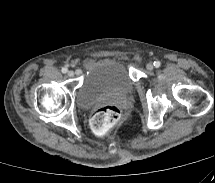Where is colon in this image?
<instances>
[{
  "mask_svg": "<svg viewBox=\"0 0 215 183\" xmlns=\"http://www.w3.org/2000/svg\"><path fill=\"white\" fill-rule=\"evenodd\" d=\"M119 118V108L115 105H107L91 115L90 126L95 134L103 136L117 123Z\"/></svg>",
  "mask_w": 215,
  "mask_h": 183,
  "instance_id": "5ec220e1",
  "label": "colon"
}]
</instances>
